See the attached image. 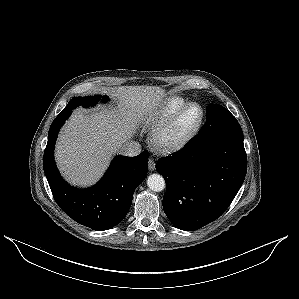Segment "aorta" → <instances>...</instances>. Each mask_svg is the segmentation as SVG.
Wrapping results in <instances>:
<instances>
[{
  "label": "aorta",
  "instance_id": "1",
  "mask_svg": "<svg viewBox=\"0 0 299 299\" xmlns=\"http://www.w3.org/2000/svg\"><path fill=\"white\" fill-rule=\"evenodd\" d=\"M147 186L155 192H161L165 189V180L160 174H151L147 179Z\"/></svg>",
  "mask_w": 299,
  "mask_h": 299
}]
</instances>
